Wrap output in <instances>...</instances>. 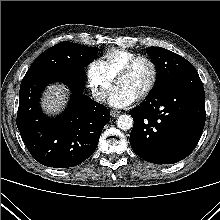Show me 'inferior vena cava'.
I'll return each mask as SVG.
<instances>
[{
    "instance_id": "obj_1",
    "label": "inferior vena cava",
    "mask_w": 220,
    "mask_h": 220,
    "mask_svg": "<svg viewBox=\"0 0 220 220\" xmlns=\"http://www.w3.org/2000/svg\"><path fill=\"white\" fill-rule=\"evenodd\" d=\"M93 97L96 101H104L106 98V93L104 91H95L93 92Z\"/></svg>"
}]
</instances>
